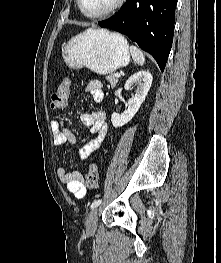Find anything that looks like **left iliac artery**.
<instances>
[{
  "label": "left iliac artery",
  "mask_w": 221,
  "mask_h": 263,
  "mask_svg": "<svg viewBox=\"0 0 221 263\" xmlns=\"http://www.w3.org/2000/svg\"><path fill=\"white\" fill-rule=\"evenodd\" d=\"M102 200L98 199L95 200L92 204H91V208H95L97 206H99L101 204Z\"/></svg>",
  "instance_id": "44dca946"
}]
</instances>
